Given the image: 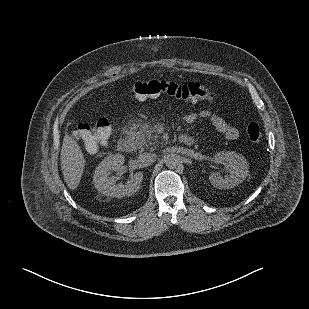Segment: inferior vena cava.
Returning <instances> with one entry per match:
<instances>
[{
	"mask_svg": "<svg viewBox=\"0 0 309 309\" xmlns=\"http://www.w3.org/2000/svg\"><path fill=\"white\" fill-rule=\"evenodd\" d=\"M156 158L154 153H141L138 157L141 163H149Z\"/></svg>",
	"mask_w": 309,
	"mask_h": 309,
	"instance_id": "1",
	"label": "inferior vena cava"
}]
</instances>
